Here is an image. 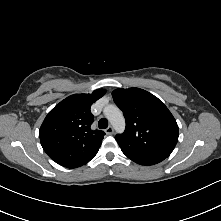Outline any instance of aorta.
Instances as JSON below:
<instances>
[{"mask_svg":"<svg viewBox=\"0 0 221 221\" xmlns=\"http://www.w3.org/2000/svg\"><path fill=\"white\" fill-rule=\"evenodd\" d=\"M105 116L117 132H123L125 119L121 110L115 105H109L104 110Z\"/></svg>","mask_w":221,"mask_h":221,"instance_id":"762f6f07","label":"aorta"}]
</instances>
